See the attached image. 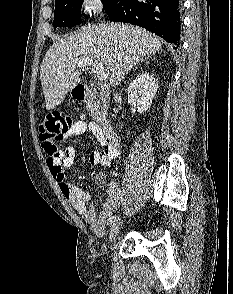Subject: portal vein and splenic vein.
<instances>
[{
	"label": "portal vein and splenic vein",
	"mask_w": 233,
	"mask_h": 294,
	"mask_svg": "<svg viewBox=\"0 0 233 294\" xmlns=\"http://www.w3.org/2000/svg\"><path fill=\"white\" fill-rule=\"evenodd\" d=\"M88 66H92L98 76V79L100 81H104L108 78L109 76V70L106 69L103 65V63L95 61V60H88V59H84L81 62L78 63L77 67L78 68H84V67H88Z\"/></svg>",
	"instance_id": "obj_1"
}]
</instances>
